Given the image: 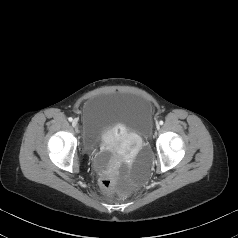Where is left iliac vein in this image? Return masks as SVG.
I'll list each match as a JSON object with an SVG mask.
<instances>
[{
	"mask_svg": "<svg viewBox=\"0 0 238 238\" xmlns=\"http://www.w3.org/2000/svg\"><path fill=\"white\" fill-rule=\"evenodd\" d=\"M156 128L159 130V128H160V125H159V124H157V125H156Z\"/></svg>",
	"mask_w": 238,
	"mask_h": 238,
	"instance_id": "left-iliac-vein-1",
	"label": "left iliac vein"
}]
</instances>
